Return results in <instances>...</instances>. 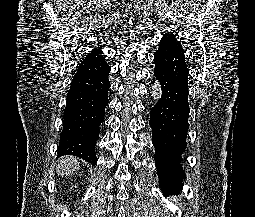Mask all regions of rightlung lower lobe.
Returning <instances> with one entry per match:
<instances>
[{
    "label": "right lung lower lobe",
    "mask_w": 255,
    "mask_h": 217,
    "mask_svg": "<svg viewBox=\"0 0 255 217\" xmlns=\"http://www.w3.org/2000/svg\"><path fill=\"white\" fill-rule=\"evenodd\" d=\"M110 70L104 58L79 64L67 94L59 156L74 155L90 163L97 161L94 146L108 105Z\"/></svg>",
    "instance_id": "1"
}]
</instances>
